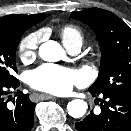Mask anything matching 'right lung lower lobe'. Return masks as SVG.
Here are the masks:
<instances>
[{
    "label": "right lung lower lobe",
    "instance_id": "right-lung-lower-lobe-1",
    "mask_svg": "<svg viewBox=\"0 0 131 131\" xmlns=\"http://www.w3.org/2000/svg\"><path fill=\"white\" fill-rule=\"evenodd\" d=\"M19 80L0 83V131H31L34 124L35 103H32L28 94L19 92L15 101V107L7 106L5 95L8 90L16 89Z\"/></svg>",
    "mask_w": 131,
    "mask_h": 131
}]
</instances>
